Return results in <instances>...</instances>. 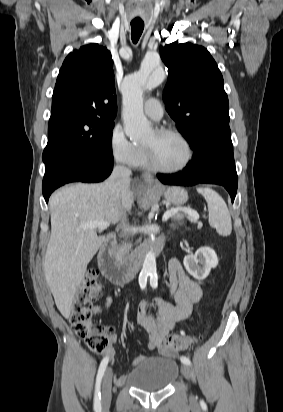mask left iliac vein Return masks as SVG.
<instances>
[{"label":"left iliac vein","mask_w":283,"mask_h":412,"mask_svg":"<svg viewBox=\"0 0 283 412\" xmlns=\"http://www.w3.org/2000/svg\"><path fill=\"white\" fill-rule=\"evenodd\" d=\"M181 371H182V374L184 375V377L186 379L189 380L191 378V370H190V367L188 365H186V364L182 365L181 366ZM190 397H191V399H193L192 395Z\"/></svg>","instance_id":"obj_1"}]
</instances>
